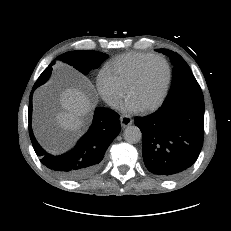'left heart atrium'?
Returning <instances> with one entry per match:
<instances>
[{"mask_svg":"<svg viewBox=\"0 0 231 231\" xmlns=\"http://www.w3.org/2000/svg\"><path fill=\"white\" fill-rule=\"evenodd\" d=\"M122 110L126 113H133L141 110L139 104L134 102L133 100L129 99L122 105Z\"/></svg>","mask_w":231,"mask_h":231,"instance_id":"39dd6f15","label":"left heart atrium"}]
</instances>
